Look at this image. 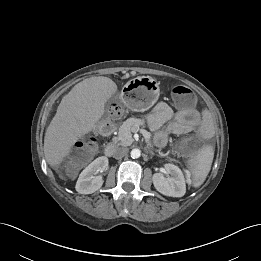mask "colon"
<instances>
[{
	"mask_svg": "<svg viewBox=\"0 0 261 261\" xmlns=\"http://www.w3.org/2000/svg\"><path fill=\"white\" fill-rule=\"evenodd\" d=\"M172 95L175 102L182 107H191L196 101L194 92L184 85H177L172 89ZM114 114L117 116L121 115V110L114 109ZM194 142L191 140H180L178 141V147L185 153H189L194 148ZM95 150V141L93 139H87L79 147L75 148L68 159V166L71 168L87 161Z\"/></svg>",
	"mask_w": 261,
	"mask_h": 261,
	"instance_id": "1",
	"label": "colon"
}]
</instances>
